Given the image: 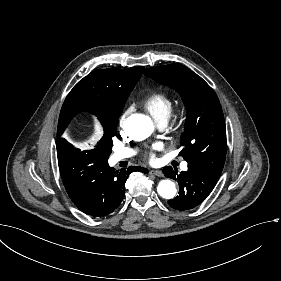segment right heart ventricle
<instances>
[{"label": "right heart ventricle", "mask_w": 281, "mask_h": 281, "mask_svg": "<svg viewBox=\"0 0 281 281\" xmlns=\"http://www.w3.org/2000/svg\"><path fill=\"white\" fill-rule=\"evenodd\" d=\"M144 106L157 120L166 119L173 109L174 99L165 91H155L144 99Z\"/></svg>", "instance_id": "right-heart-ventricle-1"}]
</instances>
